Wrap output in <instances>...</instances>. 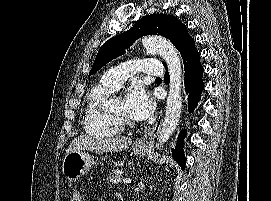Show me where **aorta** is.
I'll list each match as a JSON object with an SVG mask.
<instances>
[{
	"label": "aorta",
	"mask_w": 271,
	"mask_h": 201,
	"mask_svg": "<svg viewBox=\"0 0 271 201\" xmlns=\"http://www.w3.org/2000/svg\"><path fill=\"white\" fill-rule=\"evenodd\" d=\"M143 47L149 53H158L166 62L170 75L166 112L157 146L167 142L175 131L182 109V66L177 49L172 43L160 36L149 35L141 39Z\"/></svg>",
	"instance_id": "762f6f07"
}]
</instances>
